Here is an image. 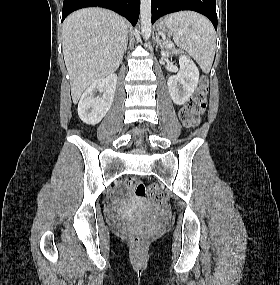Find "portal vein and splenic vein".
<instances>
[{"instance_id": "obj_1", "label": "portal vein and splenic vein", "mask_w": 280, "mask_h": 285, "mask_svg": "<svg viewBox=\"0 0 280 285\" xmlns=\"http://www.w3.org/2000/svg\"><path fill=\"white\" fill-rule=\"evenodd\" d=\"M174 46V44L173 43H169V44H167V47H169V48H171V47H173Z\"/></svg>"}]
</instances>
